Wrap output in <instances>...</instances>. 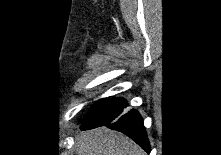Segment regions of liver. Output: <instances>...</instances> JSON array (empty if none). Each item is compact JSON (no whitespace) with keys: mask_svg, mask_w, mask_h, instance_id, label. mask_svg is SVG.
I'll return each mask as SVG.
<instances>
[{"mask_svg":"<svg viewBox=\"0 0 221 155\" xmlns=\"http://www.w3.org/2000/svg\"><path fill=\"white\" fill-rule=\"evenodd\" d=\"M77 155H144L125 135L107 128L81 132L76 137Z\"/></svg>","mask_w":221,"mask_h":155,"instance_id":"6515ba94","label":"liver"}]
</instances>
